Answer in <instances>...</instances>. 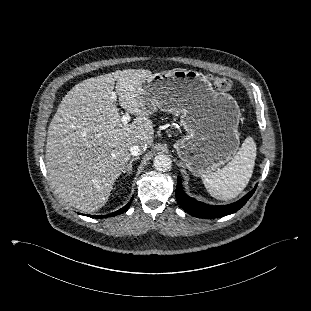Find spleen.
<instances>
[{"label":"spleen","instance_id":"spleen-1","mask_svg":"<svg viewBox=\"0 0 311 311\" xmlns=\"http://www.w3.org/2000/svg\"><path fill=\"white\" fill-rule=\"evenodd\" d=\"M256 159V144L247 137L233 159L216 172L203 174L201 179L208 193L219 200L237 197L252 177Z\"/></svg>","mask_w":311,"mask_h":311}]
</instances>
